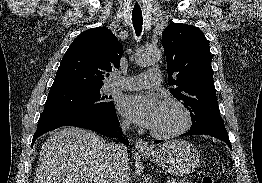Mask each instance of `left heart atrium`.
<instances>
[{
  "instance_id": "left-heart-atrium-1",
  "label": "left heart atrium",
  "mask_w": 262,
  "mask_h": 183,
  "mask_svg": "<svg viewBox=\"0 0 262 183\" xmlns=\"http://www.w3.org/2000/svg\"><path fill=\"white\" fill-rule=\"evenodd\" d=\"M162 104L154 95L132 94L119 102L120 112L136 124L152 129L157 121Z\"/></svg>"
}]
</instances>
